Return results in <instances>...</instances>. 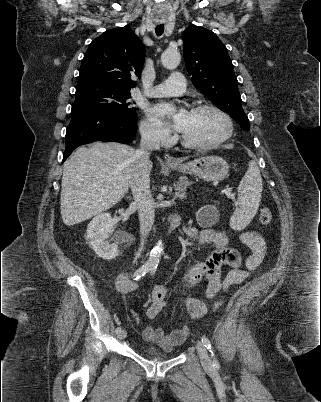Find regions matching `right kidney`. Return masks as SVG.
I'll use <instances>...</instances> for the list:
<instances>
[{
  "label": "right kidney",
  "instance_id": "right-kidney-1",
  "mask_svg": "<svg viewBox=\"0 0 321 402\" xmlns=\"http://www.w3.org/2000/svg\"><path fill=\"white\" fill-rule=\"evenodd\" d=\"M115 224L110 213H101L95 216L87 227V243L98 257L105 260L114 259L119 255L118 245L107 241Z\"/></svg>",
  "mask_w": 321,
  "mask_h": 402
}]
</instances>
